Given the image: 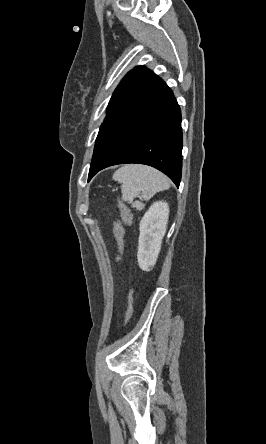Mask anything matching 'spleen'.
Returning <instances> with one entry per match:
<instances>
[{"mask_svg":"<svg viewBox=\"0 0 266 444\" xmlns=\"http://www.w3.org/2000/svg\"><path fill=\"white\" fill-rule=\"evenodd\" d=\"M113 179L121 183L122 199L139 211L144 208V204L133 201L135 197L141 194L142 200L148 201L157 192L170 187V181L164 174L149 166L138 164L122 166L114 173Z\"/></svg>","mask_w":266,"mask_h":444,"instance_id":"obj_1","label":"spleen"}]
</instances>
